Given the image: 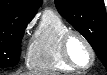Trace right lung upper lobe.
<instances>
[{
    "label": "right lung upper lobe",
    "mask_w": 107,
    "mask_h": 75,
    "mask_svg": "<svg viewBox=\"0 0 107 75\" xmlns=\"http://www.w3.org/2000/svg\"><path fill=\"white\" fill-rule=\"evenodd\" d=\"M42 4V0H1L0 30L15 23H29Z\"/></svg>",
    "instance_id": "1"
}]
</instances>
